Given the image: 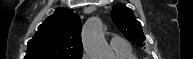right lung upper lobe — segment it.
Masks as SVG:
<instances>
[{
  "label": "right lung upper lobe",
  "instance_id": "1",
  "mask_svg": "<svg viewBox=\"0 0 193 59\" xmlns=\"http://www.w3.org/2000/svg\"><path fill=\"white\" fill-rule=\"evenodd\" d=\"M82 23L69 9L57 8L28 42L24 59H81Z\"/></svg>",
  "mask_w": 193,
  "mask_h": 59
}]
</instances>
